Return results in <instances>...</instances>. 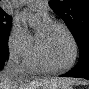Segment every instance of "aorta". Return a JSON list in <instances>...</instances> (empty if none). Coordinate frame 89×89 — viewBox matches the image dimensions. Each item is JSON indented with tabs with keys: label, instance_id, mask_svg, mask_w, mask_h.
<instances>
[{
	"label": "aorta",
	"instance_id": "762f6f07",
	"mask_svg": "<svg viewBox=\"0 0 89 89\" xmlns=\"http://www.w3.org/2000/svg\"><path fill=\"white\" fill-rule=\"evenodd\" d=\"M39 18L36 15H31L29 18V24L32 26L38 22Z\"/></svg>",
	"mask_w": 89,
	"mask_h": 89
}]
</instances>
